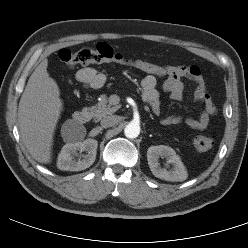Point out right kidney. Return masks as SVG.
I'll use <instances>...</instances> for the list:
<instances>
[{"mask_svg": "<svg viewBox=\"0 0 248 248\" xmlns=\"http://www.w3.org/2000/svg\"><path fill=\"white\" fill-rule=\"evenodd\" d=\"M97 146L98 142L94 139L66 143L58 155L57 167L63 171H81L89 168L96 159ZM78 151L86 154L76 160Z\"/></svg>", "mask_w": 248, "mask_h": 248, "instance_id": "1", "label": "right kidney"}]
</instances>
